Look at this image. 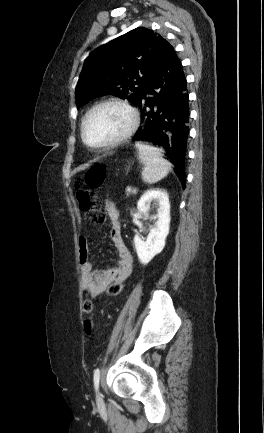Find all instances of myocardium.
I'll return each instance as SVG.
<instances>
[{
	"label": "myocardium",
	"instance_id": "obj_1",
	"mask_svg": "<svg viewBox=\"0 0 264 433\" xmlns=\"http://www.w3.org/2000/svg\"><path fill=\"white\" fill-rule=\"evenodd\" d=\"M109 105H115L123 108L129 114L130 117L129 125L127 129L119 136L99 144H92L87 140L85 135V126L87 120L96 110H98L101 107L109 106ZM138 124H139V114L138 111L135 109V107H133L126 100L119 99V98H109V99L99 101L87 111V113L85 114L81 122L80 134L83 142L92 148H109V147L117 146L123 143L124 141H126L128 138H130L133 135V133L136 131Z\"/></svg>",
	"mask_w": 264,
	"mask_h": 433
}]
</instances>
